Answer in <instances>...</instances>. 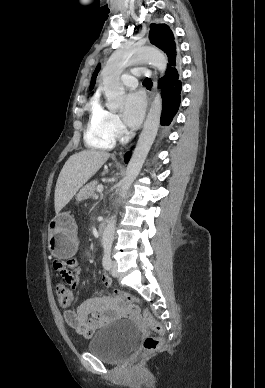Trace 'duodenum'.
<instances>
[{
	"instance_id": "410a0bca",
	"label": "duodenum",
	"mask_w": 265,
	"mask_h": 388,
	"mask_svg": "<svg viewBox=\"0 0 265 388\" xmlns=\"http://www.w3.org/2000/svg\"><path fill=\"white\" fill-rule=\"evenodd\" d=\"M107 227V221L102 220L98 226V232L100 235H103Z\"/></svg>"
}]
</instances>
